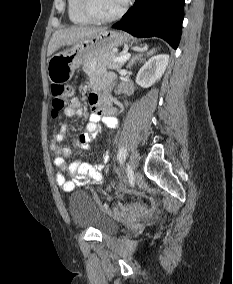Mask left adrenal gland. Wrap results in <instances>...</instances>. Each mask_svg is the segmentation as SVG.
I'll return each mask as SVG.
<instances>
[{
  "label": "left adrenal gland",
  "mask_w": 233,
  "mask_h": 284,
  "mask_svg": "<svg viewBox=\"0 0 233 284\" xmlns=\"http://www.w3.org/2000/svg\"><path fill=\"white\" fill-rule=\"evenodd\" d=\"M147 55H148V53H147ZM142 57H143L142 53H140L138 55H133L128 62L127 68L130 69L136 63V61H138V60L141 61Z\"/></svg>",
  "instance_id": "a2214340"
}]
</instances>
